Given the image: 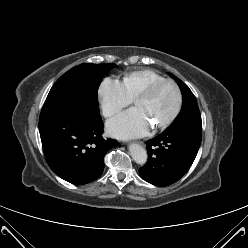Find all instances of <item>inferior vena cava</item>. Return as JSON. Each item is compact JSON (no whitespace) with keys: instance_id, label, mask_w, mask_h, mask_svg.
<instances>
[{"instance_id":"1","label":"inferior vena cava","mask_w":248,"mask_h":248,"mask_svg":"<svg viewBox=\"0 0 248 248\" xmlns=\"http://www.w3.org/2000/svg\"><path fill=\"white\" fill-rule=\"evenodd\" d=\"M109 115H110V112H108V111L104 113V116H106V117Z\"/></svg>"}]
</instances>
